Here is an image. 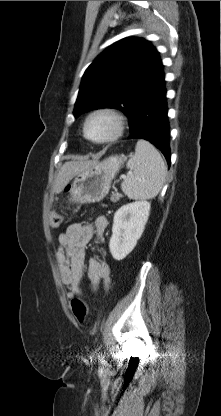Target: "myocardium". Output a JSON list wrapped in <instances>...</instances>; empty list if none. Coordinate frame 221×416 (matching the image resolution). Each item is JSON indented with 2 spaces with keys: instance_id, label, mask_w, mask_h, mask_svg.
Here are the masks:
<instances>
[{
  "instance_id": "f54148a6",
  "label": "myocardium",
  "mask_w": 221,
  "mask_h": 416,
  "mask_svg": "<svg viewBox=\"0 0 221 416\" xmlns=\"http://www.w3.org/2000/svg\"><path fill=\"white\" fill-rule=\"evenodd\" d=\"M99 116L108 117L113 122V129L107 136L103 138H93L88 133V125L92 119L99 117ZM124 127H125V118L118 110H116L115 108H111V107H102V108L93 110L87 115L83 123V135L88 141L92 143L106 144V143H109L118 139L122 135L124 131Z\"/></svg>"
}]
</instances>
